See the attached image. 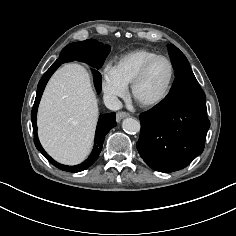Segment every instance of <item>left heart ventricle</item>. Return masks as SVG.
Wrapping results in <instances>:
<instances>
[{
  "instance_id": "obj_1",
  "label": "left heart ventricle",
  "mask_w": 236,
  "mask_h": 236,
  "mask_svg": "<svg viewBox=\"0 0 236 236\" xmlns=\"http://www.w3.org/2000/svg\"><path fill=\"white\" fill-rule=\"evenodd\" d=\"M170 78V66L165 60H158L148 70L137 89L141 100H153L162 95Z\"/></svg>"
}]
</instances>
